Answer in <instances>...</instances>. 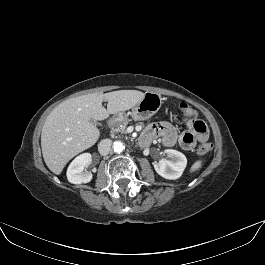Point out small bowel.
I'll return each instance as SVG.
<instances>
[{
  "label": "small bowel",
  "mask_w": 265,
  "mask_h": 265,
  "mask_svg": "<svg viewBox=\"0 0 265 265\" xmlns=\"http://www.w3.org/2000/svg\"><path fill=\"white\" fill-rule=\"evenodd\" d=\"M186 130L178 135L173 125L167 122L151 124L147 127L141 136V142L144 145L150 144L157 138L166 147L176 144L177 140L182 148L191 150L195 147L196 142L204 143L208 139V129L206 124L199 119H185Z\"/></svg>",
  "instance_id": "1"
}]
</instances>
